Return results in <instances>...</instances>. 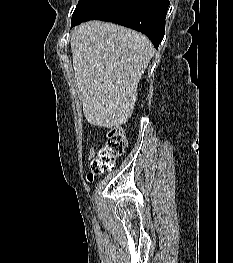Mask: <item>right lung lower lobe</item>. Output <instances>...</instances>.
<instances>
[{
    "mask_svg": "<svg viewBox=\"0 0 233 263\" xmlns=\"http://www.w3.org/2000/svg\"><path fill=\"white\" fill-rule=\"evenodd\" d=\"M168 7L169 0H124L109 17L101 20L140 31L158 48L165 34Z\"/></svg>",
    "mask_w": 233,
    "mask_h": 263,
    "instance_id": "right-lung-lower-lobe-1",
    "label": "right lung lower lobe"
}]
</instances>
